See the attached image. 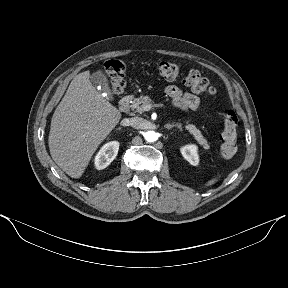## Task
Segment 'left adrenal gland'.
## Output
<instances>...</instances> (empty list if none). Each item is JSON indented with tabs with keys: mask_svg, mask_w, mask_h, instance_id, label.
Segmentation results:
<instances>
[{
	"mask_svg": "<svg viewBox=\"0 0 288 288\" xmlns=\"http://www.w3.org/2000/svg\"><path fill=\"white\" fill-rule=\"evenodd\" d=\"M177 128V129H179L180 131H181V125L180 124H166L165 125V128H167V129H172V128Z\"/></svg>",
	"mask_w": 288,
	"mask_h": 288,
	"instance_id": "obj_1",
	"label": "left adrenal gland"
}]
</instances>
